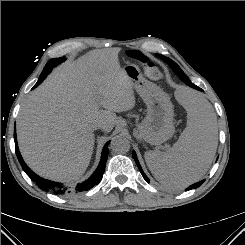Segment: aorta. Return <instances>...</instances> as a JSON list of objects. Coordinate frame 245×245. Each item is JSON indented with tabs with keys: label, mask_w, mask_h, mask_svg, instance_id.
Segmentation results:
<instances>
[{
	"label": "aorta",
	"mask_w": 245,
	"mask_h": 245,
	"mask_svg": "<svg viewBox=\"0 0 245 245\" xmlns=\"http://www.w3.org/2000/svg\"><path fill=\"white\" fill-rule=\"evenodd\" d=\"M111 149L115 153H126L130 149V142L129 140L122 136V135H117L115 136L112 141H111Z\"/></svg>",
	"instance_id": "obj_1"
}]
</instances>
